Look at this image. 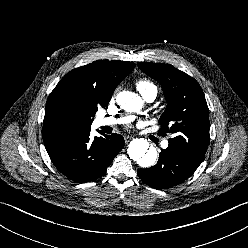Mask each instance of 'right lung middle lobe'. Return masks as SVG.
Segmentation results:
<instances>
[{"mask_svg": "<svg viewBox=\"0 0 248 248\" xmlns=\"http://www.w3.org/2000/svg\"><path fill=\"white\" fill-rule=\"evenodd\" d=\"M98 107L97 104H90L87 106H64L57 110L56 117L63 125L77 132L90 130L93 117L95 116Z\"/></svg>", "mask_w": 248, "mask_h": 248, "instance_id": "dd1d6c3e", "label": "right lung middle lobe"}]
</instances>
